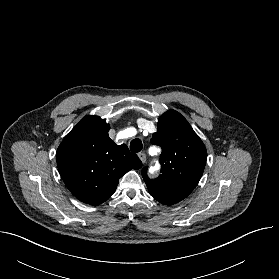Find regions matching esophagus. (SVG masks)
<instances>
[{
	"mask_svg": "<svg viewBox=\"0 0 279 279\" xmlns=\"http://www.w3.org/2000/svg\"><path fill=\"white\" fill-rule=\"evenodd\" d=\"M138 157L140 158V160L142 161V163H145L146 162V155L145 153H139L138 154Z\"/></svg>",
	"mask_w": 279,
	"mask_h": 279,
	"instance_id": "esophagus-1",
	"label": "esophagus"
}]
</instances>
